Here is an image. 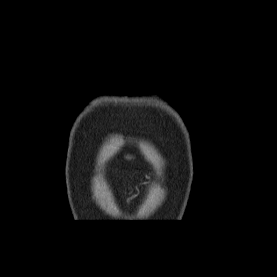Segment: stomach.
<instances>
[{"label":"stomach","instance_id":"1","mask_svg":"<svg viewBox=\"0 0 277 277\" xmlns=\"http://www.w3.org/2000/svg\"><path fill=\"white\" fill-rule=\"evenodd\" d=\"M125 158H126L127 160H131V159L133 158V156L127 154V155L125 156Z\"/></svg>","mask_w":277,"mask_h":277}]
</instances>
